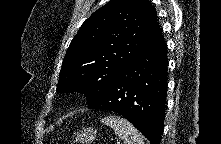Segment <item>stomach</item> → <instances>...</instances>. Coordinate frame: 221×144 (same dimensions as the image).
Masks as SVG:
<instances>
[{
  "instance_id": "0dacf381",
  "label": "stomach",
  "mask_w": 221,
  "mask_h": 144,
  "mask_svg": "<svg viewBox=\"0 0 221 144\" xmlns=\"http://www.w3.org/2000/svg\"><path fill=\"white\" fill-rule=\"evenodd\" d=\"M97 130L93 127L83 128L81 131L77 132L75 136V141L82 143H91L96 138Z\"/></svg>"
}]
</instances>
